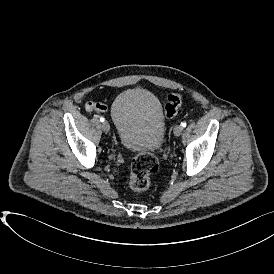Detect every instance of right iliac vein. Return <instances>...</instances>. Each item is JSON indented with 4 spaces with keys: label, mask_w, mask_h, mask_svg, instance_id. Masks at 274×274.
<instances>
[{
    "label": "right iliac vein",
    "mask_w": 274,
    "mask_h": 274,
    "mask_svg": "<svg viewBox=\"0 0 274 274\" xmlns=\"http://www.w3.org/2000/svg\"><path fill=\"white\" fill-rule=\"evenodd\" d=\"M102 130H103L105 133L109 132V130H110V125H109V123H108L107 121H105V122L102 123Z\"/></svg>",
    "instance_id": "obj_1"
}]
</instances>
